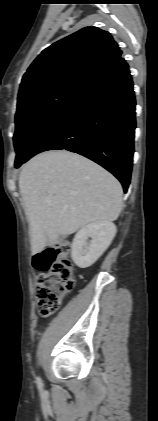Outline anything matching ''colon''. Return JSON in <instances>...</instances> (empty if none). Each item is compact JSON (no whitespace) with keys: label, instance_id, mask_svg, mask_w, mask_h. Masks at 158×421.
<instances>
[{"label":"colon","instance_id":"obj_1","mask_svg":"<svg viewBox=\"0 0 158 421\" xmlns=\"http://www.w3.org/2000/svg\"><path fill=\"white\" fill-rule=\"evenodd\" d=\"M69 250V245L62 243L38 252L33 258L39 272L35 297L42 316L56 312L64 296L74 287L73 265L67 257Z\"/></svg>","mask_w":158,"mask_h":421}]
</instances>
